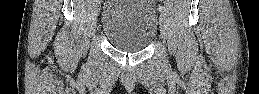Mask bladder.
<instances>
[{
	"mask_svg": "<svg viewBox=\"0 0 259 94\" xmlns=\"http://www.w3.org/2000/svg\"><path fill=\"white\" fill-rule=\"evenodd\" d=\"M101 30L118 50H144L157 35V11L149 0H108L102 11Z\"/></svg>",
	"mask_w": 259,
	"mask_h": 94,
	"instance_id": "obj_1",
	"label": "bladder"
}]
</instances>
